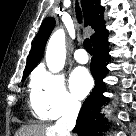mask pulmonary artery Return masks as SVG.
Instances as JSON below:
<instances>
[{
    "label": "pulmonary artery",
    "mask_w": 136,
    "mask_h": 136,
    "mask_svg": "<svg viewBox=\"0 0 136 136\" xmlns=\"http://www.w3.org/2000/svg\"><path fill=\"white\" fill-rule=\"evenodd\" d=\"M75 59L82 64H85L88 62L89 58L84 49H77L74 53Z\"/></svg>",
    "instance_id": "1"
}]
</instances>
